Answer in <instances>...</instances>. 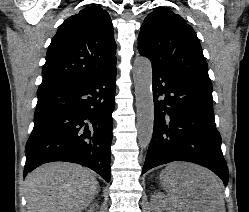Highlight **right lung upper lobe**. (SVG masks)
<instances>
[{"mask_svg": "<svg viewBox=\"0 0 249 212\" xmlns=\"http://www.w3.org/2000/svg\"><path fill=\"white\" fill-rule=\"evenodd\" d=\"M116 43L107 11L82 9L64 21L48 47L37 94L93 78L116 64Z\"/></svg>", "mask_w": 249, "mask_h": 212, "instance_id": "cb5924a9", "label": "right lung upper lobe"}]
</instances>
